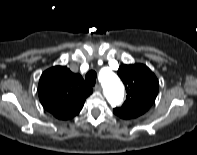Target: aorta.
<instances>
[{
  "label": "aorta",
  "mask_w": 197,
  "mask_h": 155,
  "mask_svg": "<svg viewBox=\"0 0 197 155\" xmlns=\"http://www.w3.org/2000/svg\"><path fill=\"white\" fill-rule=\"evenodd\" d=\"M100 81L108 102L112 106L119 105L123 101L124 86L118 76L106 69L100 72Z\"/></svg>",
  "instance_id": "obj_1"
}]
</instances>
